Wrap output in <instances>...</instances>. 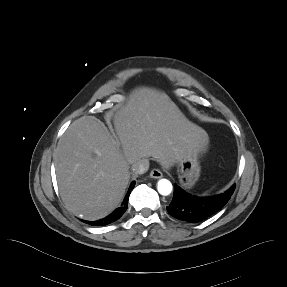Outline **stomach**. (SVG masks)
I'll use <instances>...</instances> for the list:
<instances>
[{
	"label": "stomach",
	"instance_id": "obj_1",
	"mask_svg": "<svg viewBox=\"0 0 287 287\" xmlns=\"http://www.w3.org/2000/svg\"><path fill=\"white\" fill-rule=\"evenodd\" d=\"M200 149L190 146L176 162L179 182L187 189L192 188L200 176Z\"/></svg>",
	"mask_w": 287,
	"mask_h": 287
}]
</instances>
